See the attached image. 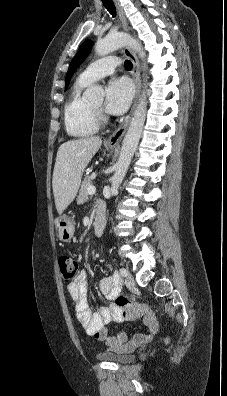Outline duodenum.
I'll list each match as a JSON object with an SVG mask.
<instances>
[{
	"instance_id": "obj_1",
	"label": "duodenum",
	"mask_w": 227,
	"mask_h": 396,
	"mask_svg": "<svg viewBox=\"0 0 227 396\" xmlns=\"http://www.w3.org/2000/svg\"><path fill=\"white\" fill-rule=\"evenodd\" d=\"M105 220L102 214H99L94 221V232L97 235H100L104 229Z\"/></svg>"
}]
</instances>
